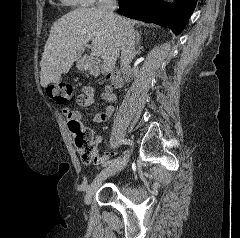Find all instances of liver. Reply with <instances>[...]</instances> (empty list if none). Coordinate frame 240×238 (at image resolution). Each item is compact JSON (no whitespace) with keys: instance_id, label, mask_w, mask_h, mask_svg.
I'll use <instances>...</instances> for the list:
<instances>
[{"instance_id":"6515ba94","label":"liver","mask_w":240,"mask_h":238,"mask_svg":"<svg viewBox=\"0 0 240 238\" xmlns=\"http://www.w3.org/2000/svg\"><path fill=\"white\" fill-rule=\"evenodd\" d=\"M129 25L132 22L123 18ZM121 28L97 8H79L63 15L51 27L40 62V83L57 84L74 61L81 57L88 41L105 61L115 63L121 49Z\"/></svg>"}]
</instances>
